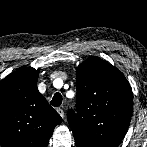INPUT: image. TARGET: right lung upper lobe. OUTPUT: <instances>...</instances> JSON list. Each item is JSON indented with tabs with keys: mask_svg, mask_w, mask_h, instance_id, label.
<instances>
[{
	"mask_svg": "<svg viewBox=\"0 0 147 147\" xmlns=\"http://www.w3.org/2000/svg\"><path fill=\"white\" fill-rule=\"evenodd\" d=\"M39 69L22 67L0 83V145L47 147L60 115L37 89Z\"/></svg>",
	"mask_w": 147,
	"mask_h": 147,
	"instance_id": "cb5924a9",
	"label": "right lung upper lobe"
}]
</instances>
